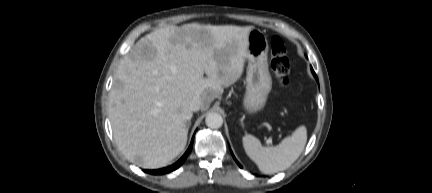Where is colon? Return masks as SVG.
<instances>
[{
	"mask_svg": "<svg viewBox=\"0 0 432 193\" xmlns=\"http://www.w3.org/2000/svg\"><path fill=\"white\" fill-rule=\"evenodd\" d=\"M270 69L277 78L281 86L289 83L290 61L287 57L286 48L283 41L274 36L271 39V60Z\"/></svg>",
	"mask_w": 432,
	"mask_h": 193,
	"instance_id": "colon-1",
	"label": "colon"
}]
</instances>
